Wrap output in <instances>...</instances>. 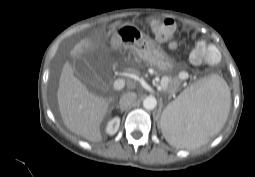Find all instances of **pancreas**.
<instances>
[{
	"label": "pancreas",
	"instance_id": "cf45deb5",
	"mask_svg": "<svg viewBox=\"0 0 255 177\" xmlns=\"http://www.w3.org/2000/svg\"><path fill=\"white\" fill-rule=\"evenodd\" d=\"M162 83H165V85H166L165 87H166V89L169 90L170 93H175L177 91L179 79L163 76L161 79V86H162Z\"/></svg>",
	"mask_w": 255,
	"mask_h": 177
}]
</instances>
